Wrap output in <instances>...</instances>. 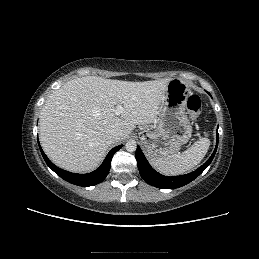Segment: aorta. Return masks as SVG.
I'll use <instances>...</instances> for the list:
<instances>
[{
    "mask_svg": "<svg viewBox=\"0 0 259 259\" xmlns=\"http://www.w3.org/2000/svg\"><path fill=\"white\" fill-rule=\"evenodd\" d=\"M125 148L128 152H134L136 151V148H137V145H136V142L133 141V140H130L128 141L126 144H125Z\"/></svg>",
    "mask_w": 259,
    "mask_h": 259,
    "instance_id": "1",
    "label": "aorta"
}]
</instances>
